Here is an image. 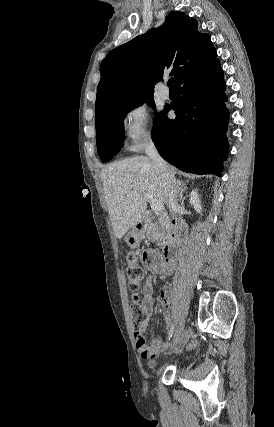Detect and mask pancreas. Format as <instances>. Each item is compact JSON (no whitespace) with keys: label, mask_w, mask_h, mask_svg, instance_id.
<instances>
[{"label":"pancreas","mask_w":274,"mask_h":427,"mask_svg":"<svg viewBox=\"0 0 274 427\" xmlns=\"http://www.w3.org/2000/svg\"><path fill=\"white\" fill-rule=\"evenodd\" d=\"M165 219L166 215H158L157 219H152V217H148V219H146L145 231L147 239L155 241V239L167 237V223Z\"/></svg>","instance_id":"1"}]
</instances>
